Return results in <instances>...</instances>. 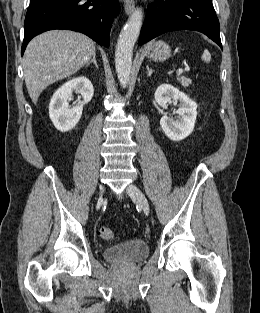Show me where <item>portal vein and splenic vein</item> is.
Segmentation results:
<instances>
[{"instance_id":"1","label":"portal vein and splenic vein","mask_w":260,"mask_h":313,"mask_svg":"<svg viewBox=\"0 0 260 313\" xmlns=\"http://www.w3.org/2000/svg\"><path fill=\"white\" fill-rule=\"evenodd\" d=\"M189 70V67H187L186 69H185V71H188ZM183 73V70L182 69H179L178 70V75H181Z\"/></svg>"}]
</instances>
